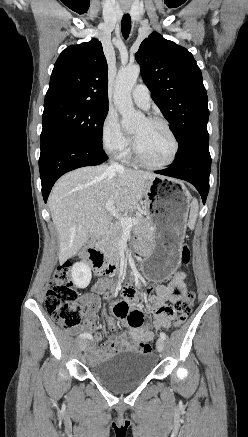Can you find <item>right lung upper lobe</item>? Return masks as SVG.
Returning a JSON list of instances; mask_svg holds the SVG:
<instances>
[{
    "label": "right lung upper lobe",
    "instance_id": "obj_1",
    "mask_svg": "<svg viewBox=\"0 0 248 437\" xmlns=\"http://www.w3.org/2000/svg\"><path fill=\"white\" fill-rule=\"evenodd\" d=\"M108 66L97 39L66 48L52 71L45 100L69 99L108 107Z\"/></svg>",
    "mask_w": 248,
    "mask_h": 437
}]
</instances>
